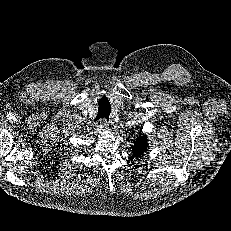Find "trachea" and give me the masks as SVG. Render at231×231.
I'll use <instances>...</instances> for the list:
<instances>
[{
    "label": "trachea",
    "instance_id": "1",
    "mask_svg": "<svg viewBox=\"0 0 231 231\" xmlns=\"http://www.w3.org/2000/svg\"><path fill=\"white\" fill-rule=\"evenodd\" d=\"M111 113V105L107 101H99L98 114L95 121L99 119H108Z\"/></svg>",
    "mask_w": 231,
    "mask_h": 231
}]
</instances>
